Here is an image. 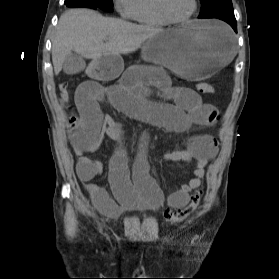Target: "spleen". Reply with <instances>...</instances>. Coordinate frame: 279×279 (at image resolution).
Here are the masks:
<instances>
[{
	"label": "spleen",
	"instance_id": "spleen-1",
	"mask_svg": "<svg viewBox=\"0 0 279 279\" xmlns=\"http://www.w3.org/2000/svg\"><path fill=\"white\" fill-rule=\"evenodd\" d=\"M222 30H224V31H227V29L226 28H224V27H220Z\"/></svg>",
	"mask_w": 279,
	"mask_h": 279
}]
</instances>
